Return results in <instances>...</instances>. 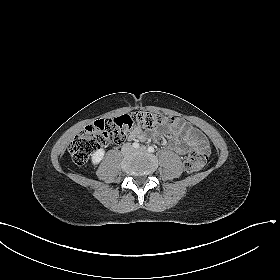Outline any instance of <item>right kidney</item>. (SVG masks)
I'll list each match as a JSON object with an SVG mask.
<instances>
[{"label":"right kidney","instance_id":"obj_1","mask_svg":"<svg viewBox=\"0 0 280 280\" xmlns=\"http://www.w3.org/2000/svg\"><path fill=\"white\" fill-rule=\"evenodd\" d=\"M104 154H105V151L103 149H99V150L95 151L92 154V158H91L92 164L93 165L99 164L101 162V160L103 159Z\"/></svg>","mask_w":280,"mask_h":280}]
</instances>
